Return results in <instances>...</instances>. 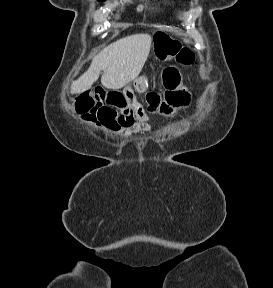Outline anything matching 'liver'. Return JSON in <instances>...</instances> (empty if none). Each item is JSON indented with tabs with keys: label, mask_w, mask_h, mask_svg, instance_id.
Instances as JSON below:
<instances>
[{
	"label": "liver",
	"mask_w": 273,
	"mask_h": 288,
	"mask_svg": "<svg viewBox=\"0 0 273 288\" xmlns=\"http://www.w3.org/2000/svg\"><path fill=\"white\" fill-rule=\"evenodd\" d=\"M149 34H134L105 47L95 56L88 70L71 84V94L89 90L103 71L104 87L119 90L140 74L150 52Z\"/></svg>",
	"instance_id": "liver-1"
}]
</instances>
